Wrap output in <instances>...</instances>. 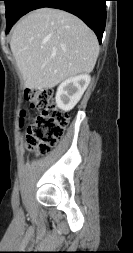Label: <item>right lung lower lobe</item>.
Wrapping results in <instances>:
<instances>
[{
	"label": "right lung lower lobe",
	"mask_w": 133,
	"mask_h": 253,
	"mask_svg": "<svg viewBox=\"0 0 133 253\" xmlns=\"http://www.w3.org/2000/svg\"><path fill=\"white\" fill-rule=\"evenodd\" d=\"M42 7L62 9L76 15L95 32L101 42L106 23V0H24L18 19Z\"/></svg>",
	"instance_id": "1"
}]
</instances>
